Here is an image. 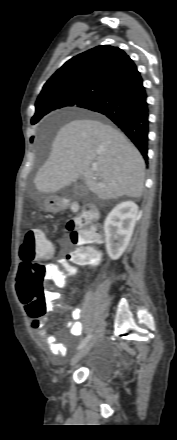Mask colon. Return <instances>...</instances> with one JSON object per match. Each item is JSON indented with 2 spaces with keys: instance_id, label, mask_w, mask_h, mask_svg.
<instances>
[{
  "instance_id": "colon-1",
  "label": "colon",
  "mask_w": 177,
  "mask_h": 440,
  "mask_svg": "<svg viewBox=\"0 0 177 440\" xmlns=\"http://www.w3.org/2000/svg\"><path fill=\"white\" fill-rule=\"evenodd\" d=\"M97 217L93 209H85L71 218L67 224L70 240L76 249L67 256L72 264H65L60 269L63 277L75 273L74 265L95 266L99 263L101 252L90 246L103 239L99 226L93 225ZM52 253V243L40 229L26 232L20 247L21 267L18 275L17 291L20 300L26 305L28 313L40 317L46 311L45 282L51 279V267L43 259Z\"/></svg>"
}]
</instances>
